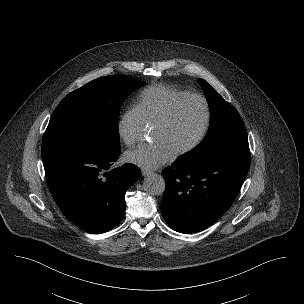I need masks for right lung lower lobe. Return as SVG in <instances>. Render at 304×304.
Masks as SVG:
<instances>
[{
	"mask_svg": "<svg viewBox=\"0 0 304 304\" xmlns=\"http://www.w3.org/2000/svg\"><path fill=\"white\" fill-rule=\"evenodd\" d=\"M120 152L67 148L42 153L53 198L62 213L86 232L100 234L114 228L124 216L127 189L141 178L140 169L130 163L111 169Z\"/></svg>",
	"mask_w": 304,
	"mask_h": 304,
	"instance_id": "98d812e1",
	"label": "right lung lower lobe"
}]
</instances>
